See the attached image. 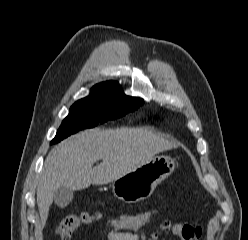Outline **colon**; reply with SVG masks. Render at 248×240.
<instances>
[{
  "label": "colon",
  "instance_id": "5ec220e1",
  "mask_svg": "<svg viewBox=\"0 0 248 240\" xmlns=\"http://www.w3.org/2000/svg\"><path fill=\"white\" fill-rule=\"evenodd\" d=\"M161 211L162 208H155L136 214L121 215L113 221L112 225L117 232H138L151 223ZM99 218V214L89 212L66 214L56 228L59 240H70L78 228Z\"/></svg>",
  "mask_w": 248,
  "mask_h": 240
}]
</instances>
